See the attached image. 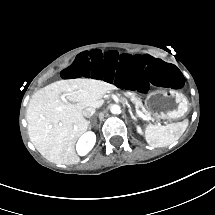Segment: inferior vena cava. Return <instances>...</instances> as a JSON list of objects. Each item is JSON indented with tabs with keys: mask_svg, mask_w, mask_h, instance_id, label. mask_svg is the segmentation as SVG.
<instances>
[{
	"mask_svg": "<svg viewBox=\"0 0 215 215\" xmlns=\"http://www.w3.org/2000/svg\"><path fill=\"white\" fill-rule=\"evenodd\" d=\"M95 111L96 110H95L94 107H86V108L83 109L82 114H83L84 117L90 118L91 116L94 115Z\"/></svg>",
	"mask_w": 215,
	"mask_h": 215,
	"instance_id": "obj_1",
	"label": "inferior vena cava"
}]
</instances>
